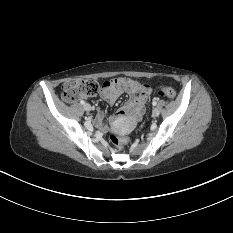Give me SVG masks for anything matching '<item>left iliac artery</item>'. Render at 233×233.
Masks as SVG:
<instances>
[{"mask_svg": "<svg viewBox=\"0 0 233 233\" xmlns=\"http://www.w3.org/2000/svg\"><path fill=\"white\" fill-rule=\"evenodd\" d=\"M154 106L157 104V102L156 101H153V103H152Z\"/></svg>", "mask_w": 233, "mask_h": 233, "instance_id": "left-iliac-artery-1", "label": "left iliac artery"}]
</instances>
